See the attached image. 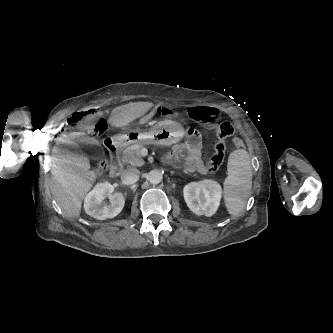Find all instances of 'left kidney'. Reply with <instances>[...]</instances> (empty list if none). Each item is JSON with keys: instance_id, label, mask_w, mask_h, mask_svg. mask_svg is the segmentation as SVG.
Wrapping results in <instances>:
<instances>
[{"instance_id": "obj_1", "label": "left kidney", "mask_w": 333, "mask_h": 333, "mask_svg": "<svg viewBox=\"0 0 333 333\" xmlns=\"http://www.w3.org/2000/svg\"><path fill=\"white\" fill-rule=\"evenodd\" d=\"M183 192L187 206L197 215H213L222 197L220 184L208 179L187 184Z\"/></svg>"}]
</instances>
